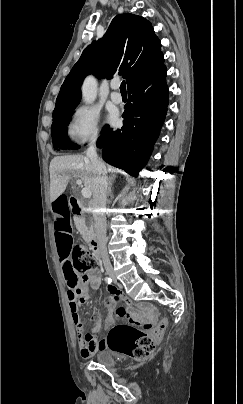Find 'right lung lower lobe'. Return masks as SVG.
Wrapping results in <instances>:
<instances>
[{
  "mask_svg": "<svg viewBox=\"0 0 243 404\" xmlns=\"http://www.w3.org/2000/svg\"><path fill=\"white\" fill-rule=\"evenodd\" d=\"M166 67L128 87L122 129H103L97 145L103 159L133 176L145 166L164 123L168 106ZM132 102V103H131Z\"/></svg>",
  "mask_w": 243,
  "mask_h": 404,
  "instance_id": "obj_1",
  "label": "right lung lower lobe"
}]
</instances>
